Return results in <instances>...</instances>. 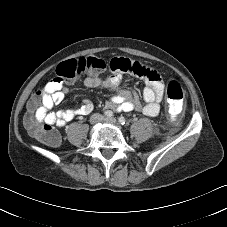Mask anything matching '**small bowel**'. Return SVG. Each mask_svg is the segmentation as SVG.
Instances as JSON below:
<instances>
[{"label":"small bowel","mask_w":227,"mask_h":227,"mask_svg":"<svg viewBox=\"0 0 227 227\" xmlns=\"http://www.w3.org/2000/svg\"><path fill=\"white\" fill-rule=\"evenodd\" d=\"M114 74L107 78H100L95 75L88 76L84 84L90 88H104L114 92L110 97L108 108L117 112L140 111L154 117L160 111V103L164 96V84L160 75L152 70V77L143 76L146 86L142 91V98L145 105L142 106L136 97L121 86L122 74L132 72V61L128 59H113L111 62ZM133 73V72H132ZM70 92L68 85H61L59 89L48 92L43 98V106L35 109V117L38 121L51 126H64L67 122L79 115H88L94 109L91 100H84L79 107L67 108L65 110L52 112L50 109L61 103L64 97Z\"/></svg>","instance_id":"c3829d8e"}]
</instances>
